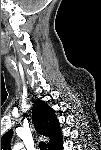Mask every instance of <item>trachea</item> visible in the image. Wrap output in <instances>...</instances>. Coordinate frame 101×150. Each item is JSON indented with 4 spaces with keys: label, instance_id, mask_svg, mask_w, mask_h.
<instances>
[{
    "label": "trachea",
    "instance_id": "trachea-1",
    "mask_svg": "<svg viewBox=\"0 0 101 150\" xmlns=\"http://www.w3.org/2000/svg\"><path fill=\"white\" fill-rule=\"evenodd\" d=\"M39 148H40V150H47L46 143L40 142V143H39Z\"/></svg>",
    "mask_w": 101,
    "mask_h": 150
}]
</instances>
